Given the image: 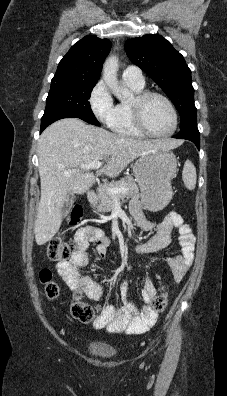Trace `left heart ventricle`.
<instances>
[{
    "instance_id": "1",
    "label": "left heart ventricle",
    "mask_w": 227,
    "mask_h": 396,
    "mask_svg": "<svg viewBox=\"0 0 227 396\" xmlns=\"http://www.w3.org/2000/svg\"><path fill=\"white\" fill-rule=\"evenodd\" d=\"M147 127L156 133H166L173 127V116L167 104L158 97L149 98L143 109Z\"/></svg>"
}]
</instances>
